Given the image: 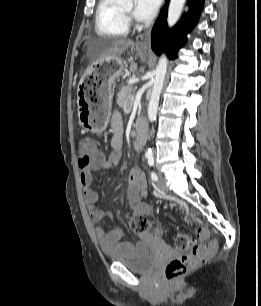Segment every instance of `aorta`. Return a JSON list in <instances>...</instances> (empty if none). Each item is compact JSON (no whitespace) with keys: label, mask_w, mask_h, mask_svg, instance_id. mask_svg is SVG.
<instances>
[{"label":"aorta","mask_w":261,"mask_h":306,"mask_svg":"<svg viewBox=\"0 0 261 306\" xmlns=\"http://www.w3.org/2000/svg\"><path fill=\"white\" fill-rule=\"evenodd\" d=\"M132 1L133 0H116V2L119 5H124V6H132ZM185 1L186 0H171L168 10V17H167V23L169 27H173L178 21L182 13ZM166 71H167V57L165 56V54H163L161 55L155 70V78L153 81L152 93L148 105V118L150 122L156 120L159 98L163 88ZM146 154L152 155L151 149H149Z\"/></svg>","instance_id":"obj_1"}]
</instances>
